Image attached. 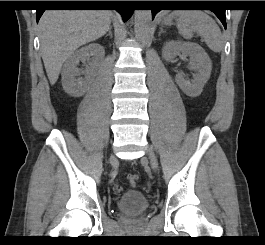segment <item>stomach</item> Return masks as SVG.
<instances>
[{"label": "stomach", "instance_id": "stomach-1", "mask_svg": "<svg viewBox=\"0 0 265 245\" xmlns=\"http://www.w3.org/2000/svg\"><path fill=\"white\" fill-rule=\"evenodd\" d=\"M172 20H173V16L172 15H168V16L163 18L162 24L163 25H171L172 24Z\"/></svg>", "mask_w": 265, "mask_h": 245}]
</instances>
